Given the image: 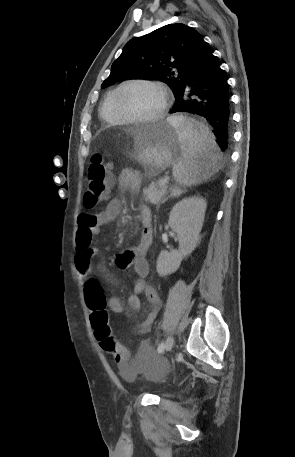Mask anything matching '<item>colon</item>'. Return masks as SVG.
<instances>
[{"mask_svg":"<svg viewBox=\"0 0 295 457\" xmlns=\"http://www.w3.org/2000/svg\"><path fill=\"white\" fill-rule=\"evenodd\" d=\"M111 184L109 164L106 163L102 154L93 155L88 168V185L84 194V206L86 208L97 206L106 197ZM85 296L91 310V323L99 343V349L110 354L113 363L128 360L130 352L125 351L121 347V343L116 342L112 336L109 317L105 308V298L96 279H91L86 283Z\"/></svg>","mask_w":295,"mask_h":457,"instance_id":"colon-1","label":"colon"}]
</instances>
